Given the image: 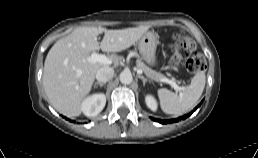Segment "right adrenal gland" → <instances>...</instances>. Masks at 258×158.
<instances>
[{"label":"right adrenal gland","instance_id":"obj_1","mask_svg":"<svg viewBox=\"0 0 258 158\" xmlns=\"http://www.w3.org/2000/svg\"><path fill=\"white\" fill-rule=\"evenodd\" d=\"M103 87L104 85H106V83H100V82H96L94 85V88H96L97 86Z\"/></svg>","mask_w":258,"mask_h":158}]
</instances>
